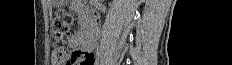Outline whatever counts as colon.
<instances>
[{"label": "colon", "mask_w": 232, "mask_h": 65, "mask_svg": "<svg viewBox=\"0 0 232 65\" xmlns=\"http://www.w3.org/2000/svg\"><path fill=\"white\" fill-rule=\"evenodd\" d=\"M73 24V17L65 10H59L53 20L52 34L57 43L55 59L63 65H93L94 55L90 52L75 49L68 50L63 46L64 38Z\"/></svg>", "instance_id": "1"}]
</instances>
